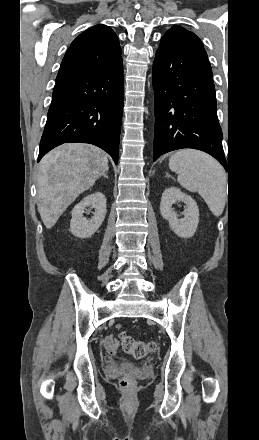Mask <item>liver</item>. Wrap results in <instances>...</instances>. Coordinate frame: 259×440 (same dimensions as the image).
<instances>
[{
    "mask_svg": "<svg viewBox=\"0 0 259 440\" xmlns=\"http://www.w3.org/2000/svg\"><path fill=\"white\" fill-rule=\"evenodd\" d=\"M108 169L107 153L94 145L66 143L47 153L37 175V208L46 228Z\"/></svg>",
    "mask_w": 259,
    "mask_h": 440,
    "instance_id": "6515ba94",
    "label": "liver"
}]
</instances>
